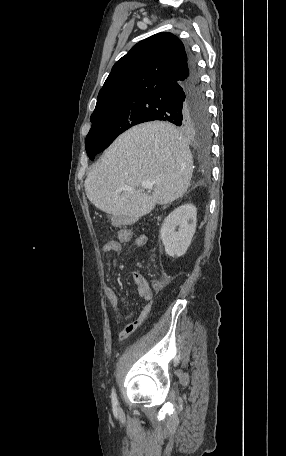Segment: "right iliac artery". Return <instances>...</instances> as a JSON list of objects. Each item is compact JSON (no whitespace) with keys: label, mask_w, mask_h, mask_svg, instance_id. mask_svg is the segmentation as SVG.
<instances>
[{"label":"right iliac artery","mask_w":286,"mask_h":456,"mask_svg":"<svg viewBox=\"0 0 286 456\" xmlns=\"http://www.w3.org/2000/svg\"><path fill=\"white\" fill-rule=\"evenodd\" d=\"M111 399L113 406L116 407L118 405V400L114 389H112Z\"/></svg>","instance_id":"1"}]
</instances>
